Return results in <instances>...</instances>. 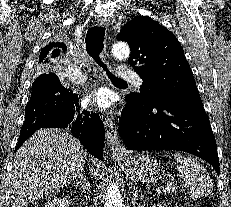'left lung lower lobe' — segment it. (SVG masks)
Returning <instances> with one entry per match:
<instances>
[{
  "label": "left lung lower lobe",
  "instance_id": "1",
  "mask_svg": "<svg viewBox=\"0 0 231 207\" xmlns=\"http://www.w3.org/2000/svg\"><path fill=\"white\" fill-rule=\"evenodd\" d=\"M126 101L118 132L128 149L189 152L219 174L216 141L200 96L151 104Z\"/></svg>",
  "mask_w": 231,
  "mask_h": 207
}]
</instances>
